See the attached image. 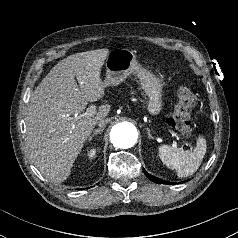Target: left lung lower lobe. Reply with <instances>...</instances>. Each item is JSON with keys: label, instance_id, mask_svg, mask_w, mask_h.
Here are the masks:
<instances>
[{"label": "left lung lower lobe", "instance_id": "obj_1", "mask_svg": "<svg viewBox=\"0 0 238 238\" xmlns=\"http://www.w3.org/2000/svg\"><path fill=\"white\" fill-rule=\"evenodd\" d=\"M145 174H146V176H147L150 180H152L153 182H156V183H159V184H172V183H170V182H167V181L158 179V178H156V177L150 175V174L147 173L146 171H145Z\"/></svg>", "mask_w": 238, "mask_h": 238}]
</instances>
